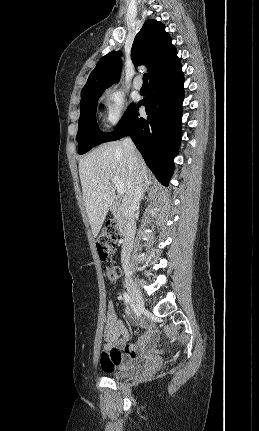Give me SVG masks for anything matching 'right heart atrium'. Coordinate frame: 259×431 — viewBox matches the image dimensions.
Listing matches in <instances>:
<instances>
[{"mask_svg": "<svg viewBox=\"0 0 259 431\" xmlns=\"http://www.w3.org/2000/svg\"><path fill=\"white\" fill-rule=\"evenodd\" d=\"M101 100L105 106V125L109 128L117 127L123 121L127 110L124 94L119 89L111 87L102 93Z\"/></svg>", "mask_w": 259, "mask_h": 431, "instance_id": "d8ad5b80", "label": "right heart atrium"}]
</instances>
